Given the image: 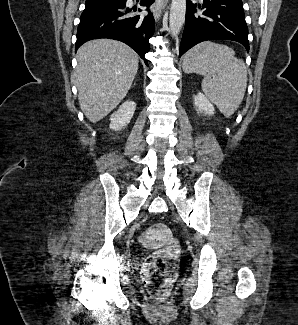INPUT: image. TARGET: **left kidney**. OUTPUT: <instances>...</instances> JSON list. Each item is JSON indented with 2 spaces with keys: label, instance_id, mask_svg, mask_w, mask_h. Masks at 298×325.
Segmentation results:
<instances>
[{
  "label": "left kidney",
  "instance_id": "5707ae66",
  "mask_svg": "<svg viewBox=\"0 0 298 325\" xmlns=\"http://www.w3.org/2000/svg\"><path fill=\"white\" fill-rule=\"evenodd\" d=\"M194 104L196 106L197 112H202V114H214L215 106H213L212 102L208 100L207 96L203 94V92H198L193 96Z\"/></svg>",
  "mask_w": 298,
  "mask_h": 325
}]
</instances>
